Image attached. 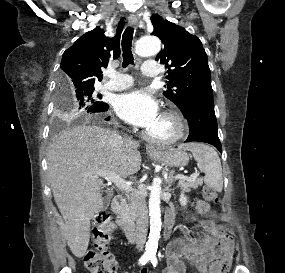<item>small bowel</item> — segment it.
Here are the masks:
<instances>
[{"label":"small bowel","mask_w":285,"mask_h":273,"mask_svg":"<svg viewBox=\"0 0 285 273\" xmlns=\"http://www.w3.org/2000/svg\"><path fill=\"white\" fill-rule=\"evenodd\" d=\"M196 212L207 216L211 213L210 205L198 200L195 202ZM176 211L177 207H171ZM201 227L206 236L200 242L175 240L167 248L168 267L165 273H186L187 264L193 266L198 273H228L233 256V242L227 238L223 229L212 219H204ZM140 273H149L143 269Z\"/></svg>","instance_id":"1"}]
</instances>
